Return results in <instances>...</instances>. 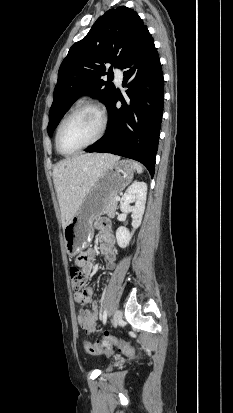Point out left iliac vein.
Instances as JSON below:
<instances>
[{"label": "left iliac vein", "instance_id": "4c4485c4", "mask_svg": "<svg viewBox=\"0 0 233 413\" xmlns=\"http://www.w3.org/2000/svg\"><path fill=\"white\" fill-rule=\"evenodd\" d=\"M121 319H122V312L121 310L117 309L113 315V321H112L113 325L117 326V324L120 323Z\"/></svg>", "mask_w": 233, "mask_h": 413}]
</instances>
